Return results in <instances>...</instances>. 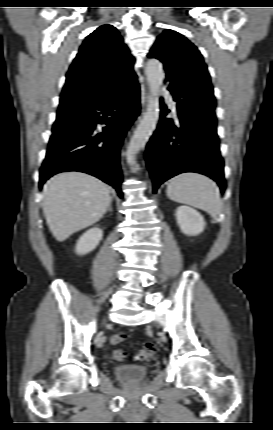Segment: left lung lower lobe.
I'll list each match as a JSON object with an SVG mask.
<instances>
[{
    "mask_svg": "<svg viewBox=\"0 0 273 430\" xmlns=\"http://www.w3.org/2000/svg\"><path fill=\"white\" fill-rule=\"evenodd\" d=\"M178 109V120L165 118L169 112L161 106L160 122L146 147V162L153 179V192L167 179L183 173L204 174L225 191L224 162L220 155L216 120L200 119Z\"/></svg>",
    "mask_w": 273,
    "mask_h": 430,
    "instance_id": "left-lung-lower-lobe-1",
    "label": "left lung lower lobe"
}]
</instances>
